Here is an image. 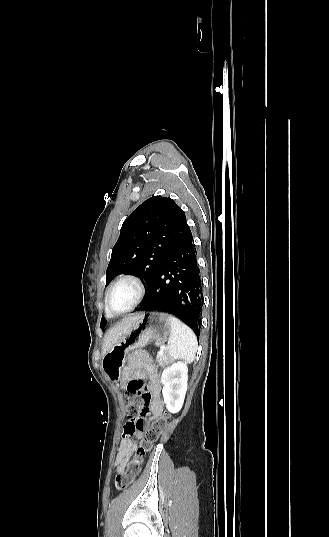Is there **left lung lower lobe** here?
<instances>
[{
	"mask_svg": "<svg viewBox=\"0 0 329 537\" xmlns=\"http://www.w3.org/2000/svg\"><path fill=\"white\" fill-rule=\"evenodd\" d=\"M136 310L176 315L199 337L202 282L191 232L162 262L143 303Z\"/></svg>",
	"mask_w": 329,
	"mask_h": 537,
	"instance_id": "0a47b994",
	"label": "left lung lower lobe"
}]
</instances>
